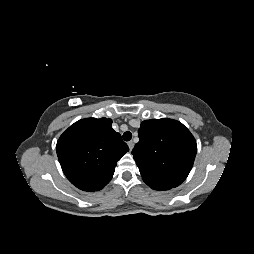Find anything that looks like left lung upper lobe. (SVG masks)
Listing matches in <instances>:
<instances>
[{"label":"left lung upper lobe","instance_id":"obj_1","mask_svg":"<svg viewBox=\"0 0 254 254\" xmlns=\"http://www.w3.org/2000/svg\"><path fill=\"white\" fill-rule=\"evenodd\" d=\"M133 158L146 184L177 187L192 169L197 152L195 138L179 121L145 120L138 130Z\"/></svg>","mask_w":254,"mask_h":254}]
</instances>
